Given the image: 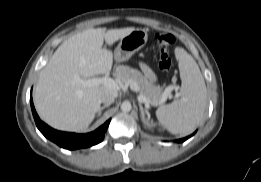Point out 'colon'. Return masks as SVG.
Here are the masks:
<instances>
[{"label": "colon", "mask_w": 261, "mask_h": 182, "mask_svg": "<svg viewBox=\"0 0 261 182\" xmlns=\"http://www.w3.org/2000/svg\"><path fill=\"white\" fill-rule=\"evenodd\" d=\"M155 40L159 51V67L164 71H169L172 64L170 47L175 43V38L172 34L159 32Z\"/></svg>", "instance_id": "obj_1"}]
</instances>
